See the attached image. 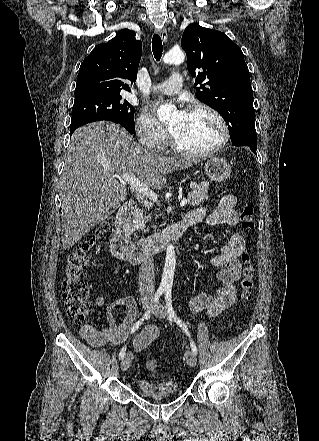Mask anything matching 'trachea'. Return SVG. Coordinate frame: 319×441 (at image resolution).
I'll return each instance as SVG.
<instances>
[{"label": "trachea", "instance_id": "trachea-1", "mask_svg": "<svg viewBox=\"0 0 319 441\" xmlns=\"http://www.w3.org/2000/svg\"><path fill=\"white\" fill-rule=\"evenodd\" d=\"M152 51L157 61H160L163 52L162 40L158 34L153 35Z\"/></svg>", "mask_w": 319, "mask_h": 441}]
</instances>
